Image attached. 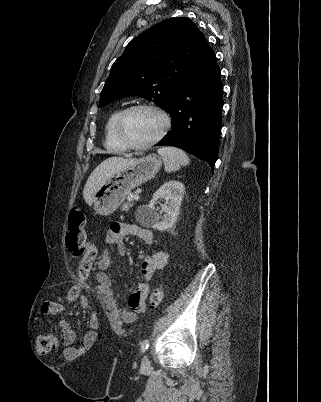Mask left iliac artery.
<instances>
[{"label":"left iliac artery","mask_w":321,"mask_h":402,"mask_svg":"<svg viewBox=\"0 0 321 402\" xmlns=\"http://www.w3.org/2000/svg\"><path fill=\"white\" fill-rule=\"evenodd\" d=\"M149 347V339H145L142 343H141V352L145 353L147 351Z\"/></svg>","instance_id":"obj_1"}]
</instances>
